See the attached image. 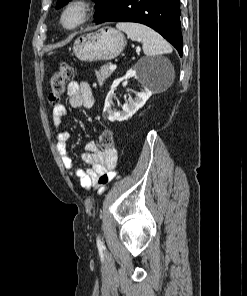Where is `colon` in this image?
Segmentation results:
<instances>
[{"label": "colon", "mask_w": 247, "mask_h": 296, "mask_svg": "<svg viewBox=\"0 0 247 296\" xmlns=\"http://www.w3.org/2000/svg\"><path fill=\"white\" fill-rule=\"evenodd\" d=\"M75 70L72 66L63 63L59 70L53 75L50 81L49 101L58 103L63 97L67 83L74 77ZM99 144L103 149L110 150L114 146V133L110 128H104L99 136ZM99 182L106 185L109 176L103 175Z\"/></svg>", "instance_id": "obj_1"}]
</instances>
